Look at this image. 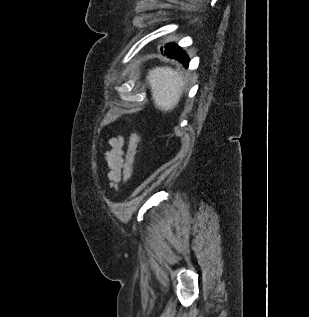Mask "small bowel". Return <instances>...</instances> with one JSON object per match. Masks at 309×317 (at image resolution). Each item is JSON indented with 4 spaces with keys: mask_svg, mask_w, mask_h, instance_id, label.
Wrapping results in <instances>:
<instances>
[{
    "mask_svg": "<svg viewBox=\"0 0 309 317\" xmlns=\"http://www.w3.org/2000/svg\"><path fill=\"white\" fill-rule=\"evenodd\" d=\"M110 149L103 153L106 161L107 178L111 187L115 188L120 181L124 166V139L122 136H116L107 140Z\"/></svg>",
    "mask_w": 309,
    "mask_h": 317,
    "instance_id": "small-bowel-1",
    "label": "small bowel"
}]
</instances>
